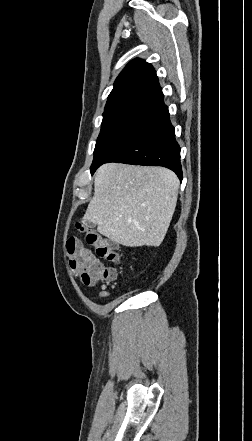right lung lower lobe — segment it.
<instances>
[{
	"instance_id": "1",
	"label": "right lung lower lobe",
	"mask_w": 252,
	"mask_h": 441,
	"mask_svg": "<svg viewBox=\"0 0 252 441\" xmlns=\"http://www.w3.org/2000/svg\"><path fill=\"white\" fill-rule=\"evenodd\" d=\"M163 98L160 91L147 101L133 129L103 163L163 166L174 171L182 180L180 147L176 142L174 127L171 125L168 107L165 106ZM100 165L91 169V174Z\"/></svg>"
}]
</instances>
